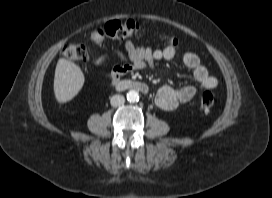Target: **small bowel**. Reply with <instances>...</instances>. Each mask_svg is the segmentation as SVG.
Returning a JSON list of instances; mask_svg holds the SVG:
<instances>
[{
  "label": "small bowel",
  "instance_id": "small-bowel-1",
  "mask_svg": "<svg viewBox=\"0 0 272 198\" xmlns=\"http://www.w3.org/2000/svg\"><path fill=\"white\" fill-rule=\"evenodd\" d=\"M110 56L121 61L120 65L113 67L106 73V77L112 85L117 84L122 76L132 71L151 68L158 62L171 61L179 57L182 63L192 70V75L199 83L200 89L211 90L217 86V79L209 74L196 54L191 52L179 54L173 46L152 49L126 39L124 40V51L117 49L108 54L97 55L94 62L96 65H102ZM196 93L197 88L191 85L179 88L164 85L157 90L155 103L159 108L171 111L191 101Z\"/></svg>",
  "mask_w": 272,
  "mask_h": 198
}]
</instances>
